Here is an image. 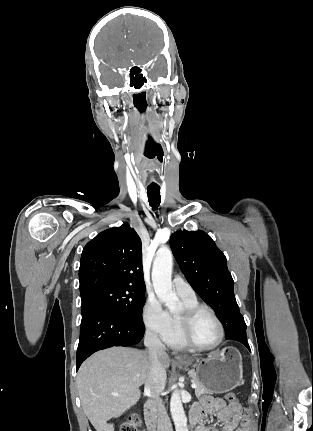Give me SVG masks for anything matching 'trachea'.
Instances as JSON below:
<instances>
[{"label":"trachea","instance_id":"obj_1","mask_svg":"<svg viewBox=\"0 0 313 431\" xmlns=\"http://www.w3.org/2000/svg\"><path fill=\"white\" fill-rule=\"evenodd\" d=\"M147 194L150 206L156 210L161 203L160 187H148Z\"/></svg>","mask_w":313,"mask_h":431}]
</instances>
